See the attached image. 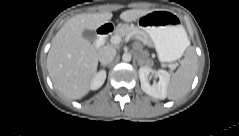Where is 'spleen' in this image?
<instances>
[{
    "label": "spleen",
    "mask_w": 239,
    "mask_h": 136,
    "mask_svg": "<svg viewBox=\"0 0 239 136\" xmlns=\"http://www.w3.org/2000/svg\"><path fill=\"white\" fill-rule=\"evenodd\" d=\"M187 45L190 41L187 39ZM197 68V56L193 49H189L180 68L173 74L169 87L168 98L178 100L189 91Z\"/></svg>",
    "instance_id": "1"
}]
</instances>
